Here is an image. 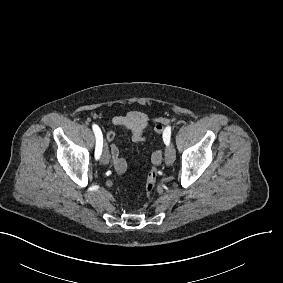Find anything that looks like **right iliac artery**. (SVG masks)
Returning a JSON list of instances; mask_svg holds the SVG:
<instances>
[{
	"label": "right iliac artery",
	"mask_w": 283,
	"mask_h": 283,
	"mask_svg": "<svg viewBox=\"0 0 283 283\" xmlns=\"http://www.w3.org/2000/svg\"><path fill=\"white\" fill-rule=\"evenodd\" d=\"M92 127H93V131H94L95 137H96L95 158L99 159L100 155L102 153L103 135H102V132H101L100 128L98 127V125L93 124Z\"/></svg>",
	"instance_id": "obj_1"
}]
</instances>
